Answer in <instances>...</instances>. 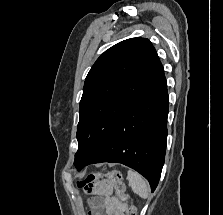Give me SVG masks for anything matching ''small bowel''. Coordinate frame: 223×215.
Masks as SVG:
<instances>
[{"instance_id":"small-bowel-1","label":"small bowel","mask_w":223,"mask_h":215,"mask_svg":"<svg viewBox=\"0 0 223 215\" xmlns=\"http://www.w3.org/2000/svg\"><path fill=\"white\" fill-rule=\"evenodd\" d=\"M96 197L92 201L90 215H126V204L112 196L109 180H99L89 190Z\"/></svg>"}]
</instances>
